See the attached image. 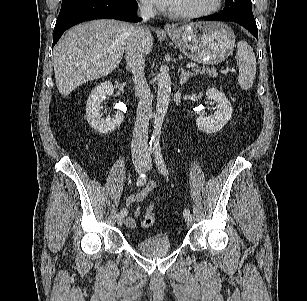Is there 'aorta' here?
<instances>
[{"instance_id": "aorta-1", "label": "aorta", "mask_w": 307, "mask_h": 301, "mask_svg": "<svg viewBox=\"0 0 307 301\" xmlns=\"http://www.w3.org/2000/svg\"><path fill=\"white\" fill-rule=\"evenodd\" d=\"M157 79L158 90L155 126L150 140V146L154 148L159 147L162 124L170 102L171 78L169 75V69L167 67H161Z\"/></svg>"}]
</instances>
